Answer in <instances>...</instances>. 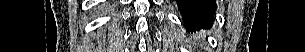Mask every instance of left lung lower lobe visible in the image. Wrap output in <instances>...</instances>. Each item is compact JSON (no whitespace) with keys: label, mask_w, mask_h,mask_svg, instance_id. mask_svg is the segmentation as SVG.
Here are the masks:
<instances>
[{"label":"left lung lower lobe","mask_w":305,"mask_h":52,"mask_svg":"<svg viewBox=\"0 0 305 52\" xmlns=\"http://www.w3.org/2000/svg\"><path fill=\"white\" fill-rule=\"evenodd\" d=\"M178 8L180 11L198 9L203 13L207 14V18L205 21L197 24H185L186 29L195 30L196 28H202L205 26H209L213 23L214 13L217 8L215 0H176Z\"/></svg>","instance_id":"obj_1"}]
</instances>
